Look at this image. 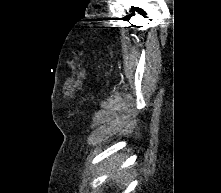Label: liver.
Segmentation results:
<instances>
[{
    "instance_id": "liver-1",
    "label": "liver",
    "mask_w": 221,
    "mask_h": 193,
    "mask_svg": "<svg viewBox=\"0 0 221 193\" xmlns=\"http://www.w3.org/2000/svg\"><path fill=\"white\" fill-rule=\"evenodd\" d=\"M120 163H121V161H117L115 159L114 162L111 164L109 170L111 171L112 169H115ZM122 174H123L122 172H118L119 178L122 176Z\"/></svg>"
}]
</instances>
